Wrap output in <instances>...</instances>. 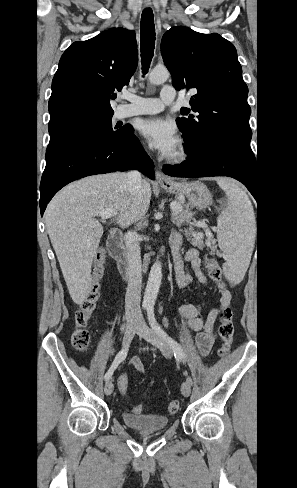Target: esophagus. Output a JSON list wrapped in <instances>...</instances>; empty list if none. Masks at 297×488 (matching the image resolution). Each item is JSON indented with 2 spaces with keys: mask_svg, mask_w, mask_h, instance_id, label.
Returning <instances> with one entry per match:
<instances>
[{
  "mask_svg": "<svg viewBox=\"0 0 297 488\" xmlns=\"http://www.w3.org/2000/svg\"><path fill=\"white\" fill-rule=\"evenodd\" d=\"M150 5V2L147 1L146 2V6H149ZM156 180L158 183L164 185V184H170L171 183V180L163 174V172L161 170H156Z\"/></svg>",
  "mask_w": 297,
  "mask_h": 488,
  "instance_id": "esophagus-1",
  "label": "esophagus"
}]
</instances>
